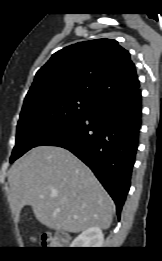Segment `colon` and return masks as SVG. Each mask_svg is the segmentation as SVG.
Here are the masks:
<instances>
[{"label": "colon", "instance_id": "1", "mask_svg": "<svg viewBox=\"0 0 162 261\" xmlns=\"http://www.w3.org/2000/svg\"><path fill=\"white\" fill-rule=\"evenodd\" d=\"M42 245L49 249H63L67 246V242L57 234H49L42 241Z\"/></svg>", "mask_w": 162, "mask_h": 261}]
</instances>
